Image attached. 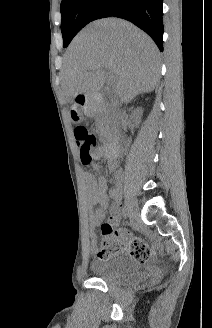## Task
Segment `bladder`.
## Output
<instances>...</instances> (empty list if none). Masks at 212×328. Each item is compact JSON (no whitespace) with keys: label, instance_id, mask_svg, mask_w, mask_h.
<instances>
[{"label":"bladder","instance_id":"bladder-1","mask_svg":"<svg viewBox=\"0 0 212 328\" xmlns=\"http://www.w3.org/2000/svg\"><path fill=\"white\" fill-rule=\"evenodd\" d=\"M91 271L96 278L111 285H133L143 278L140 265L126 257L95 260L91 263Z\"/></svg>","mask_w":212,"mask_h":328}]
</instances>
